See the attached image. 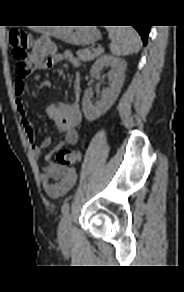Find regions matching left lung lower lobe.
I'll list each match as a JSON object with an SVG mask.
<instances>
[{"label": "left lung lower lobe", "mask_w": 184, "mask_h": 292, "mask_svg": "<svg viewBox=\"0 0 184 292\" xmlns=\"http://www.w3.org/2000/svg\"><path fill=\"white\" fill-rule=\"evenodd\" d=\"M140 34L144 45L147 43V38L150 30V26H145V25H134L133 26Z\"/></svg>", "instance_id": "1"}]
</instances>
